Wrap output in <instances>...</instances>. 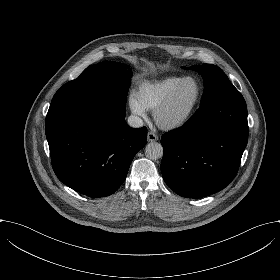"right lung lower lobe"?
I'll use <instances>...</instances> for the list:
<instances>
[{
    "mask_svg": "<svg viewBox=\"0 0 280 280\" xmlns=\"http://www.w3.org/2000/svg\"><path fill=\"white\" fill-rule=\"evenodd\" d=\"M125 112V107L95 95L56 92L45 132L52 167L61 182L94 198L119 188L147 137L145 127L126 124Z\"/></svg>",
    "mask_w": 280,
    "mask_h": 280,
    "instance_id": "1",
    "label": "right lung lower lobe"
}]
</instances>
